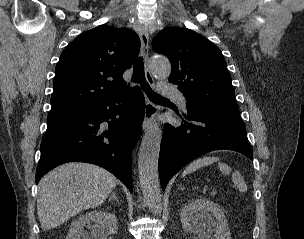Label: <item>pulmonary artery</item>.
<instances>
[{"mask_svg":"<svg viewBox=\"0 0 304 239\" xmlns=\"http://www.w3.org/2000/svg\"><path fill=\"white\" fill-rule=\"evenodd\" d=\"M159 92L164 96L176 99L178 101V103L180 104V106L183 109H186L187 101H186L185 96L172 85H170L168 83H164V82L161 83L159 85Z\"/></svg>","mask_w":304,"mask_h":239,"instance_id":"obj_1","label":"pulmonary artery"}]
</instances>
